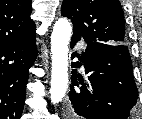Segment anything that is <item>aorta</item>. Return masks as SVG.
Returning <instances> with one entry per match:
<instances>
[{
  "label": "aorta",
  "mask_w": 142,
  "mask_h": 119,
  "mask_svg": "<svg viewBox=\"0 0 142 119\" xmlns=\"http://www.w3.org/2000/svg\"><path fill=\"white\" fill-rule=\"evenodd\" d=\"M72 27L65 18L58 19L51 34V102L57 104L64 98L68 87V45Z\"/></svg>",
  "instance_id": "762f6f07"
}]
</instances>
